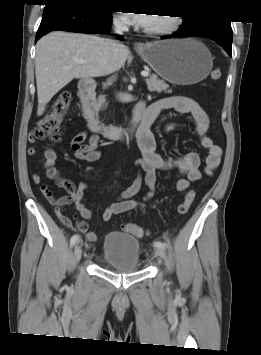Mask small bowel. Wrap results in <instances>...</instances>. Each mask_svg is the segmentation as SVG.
<instances>
[{"label": "small bowel", "mask_w": 261, "mask_h": 355, "mask_svg": "<svg viewBox=\"0 0 261 355\" xmlns=\"http://www.w3.org/2000/svg\"><path fill=\"white\" fill-rule=\"evenodd\" d=\"M141 105L143 116L148 119L151 124L162 111L168 109H173L181 114L191 115L195 123V134L199 137L201 145L207 153L204 163V173L207 175L213 173L220 164L222 149L215 144L208 135L209 117L195 100L184 96H171L158 100L149 106H146L144 102H142ZM176 127L177 124L169 123L165 126L164 130L170 132ZM87 139L88 142L85 143ZM137 140L142 154V157L136 162L139 174L134 179L133 183L122 191L116 200L104 210L102 217L105 221L111 220L115 215L135 209L140 203L133 200L132 197L139 192L143 184L149 188L145 200L151 199L154 196L157 170H177L180 172L183 177L176 181V188L179 191L187 190L191 182L199 181L202 178V172L200 171L201 161L196 152H188L179 157H162L156 151V139L150 128L139 131L137 133ZM33 141L34 138L30 136L29 142ZM98 144V136L94 135L88 138L87 132L82 131L72 139L71 149L76 159L94 162L101 157ZM27 153L29 156H33L36 154V149L30 147ZM44 157L47 178L54 182L59 188L65 190L66 194L58 199H54L52 192L42 183L41 176L37 172L32 173L33 182L39 185L43 196L57 206L56 214L62 224L71 230L81 232L88 241H96V233L89 230L88 224L85 221L92 217L91 210L82 202L87 192V185L85 183L75 185L70 180L61 176L59 170L55 167L57 154L53 149H46ZM45 191L49 192V197L46 196ZM71 204L75 206L83 220L73 221L62 213L61 208Z\"/></svg>", "instance_id": "c3829d8e"}]
</instances>
